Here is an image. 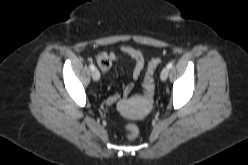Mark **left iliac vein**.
Segmentation results:
<instances>
[{"instance_id":"4c4485c4","label":"left iliac vein","mask_w":248,"mask_h":165,"mask_svg":"<svg viewBox=\"0 0 248 165\" xmlns=\"http://www.w3.org/2000/svg\"><path fill=\"white\" fill-rule=\"evenodd\" d=\"M168 74H169V69L168 68H163L161 73H160V79L162 81H165L168 77Z\"/></svg>"}]
</instances>
